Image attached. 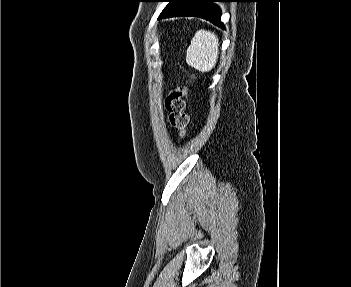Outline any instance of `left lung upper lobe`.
I'll return each mask as SVG.
<instances>
[{
	"instance_id": "5c2ea615",
	"label": "left lung upper lobe",
	"mask_w": 351,
	"mask_h": 287,
	"mask_svg": "<svg viewBox=\"0 0 351 287\" xmlns=\"http://www.w3.org/2000/svg\"><path fill=\"white\" fill-rule=\"evenodd\" d=\"M161 1H166V2H169V3H170L172 0H161Z\"/></svg>"
}]
</instances>
